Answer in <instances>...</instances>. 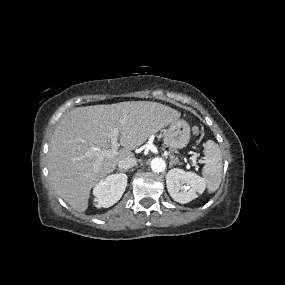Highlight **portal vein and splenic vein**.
I'll list each match as a JSON object with an SVG mask.
<instances>
[{"mask_svg": "<svg viewBox=\"0 0 285 285\" xmlns=\"http://www.w3.org/2000/svg\"><path fill=\"white\" fill-rule=\"evenodd\" d=\"M118 138H119V131L117 129H113L111 131V149L108 150H100L94 149V155L97 157V161L100 162L106 157H114L118 153ZM191 160L195 163L197 160L196 156H192Z\"/></svg>", "mask_w": 285, "mask_h": 285, "instance_id": "18ae733b", "label": "portal vein and splenic vein"}]
</instances>
